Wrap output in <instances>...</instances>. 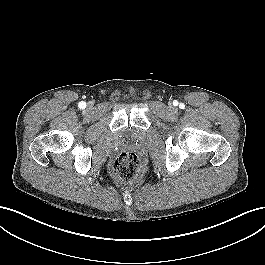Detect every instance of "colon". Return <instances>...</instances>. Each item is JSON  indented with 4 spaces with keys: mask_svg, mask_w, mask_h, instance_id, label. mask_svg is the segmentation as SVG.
Here are the masks:
<instances>
[{
    "mask_svg": "<svg viewBox=\"0 0 265 265\" xmlns=\"http://www.w3.org/2000/svg\"><path fill=\"white\" fill-rule=\"evenodd\" d=\"M140 162L137 155L131 151L121 152L111 165L113 177L122 182H131L140 174Z\"/></svg>",
    "mask_w": 265,
    "mask_h": 265,
    "instance_id": "1",
    "label": "colon"
}]
</instances>
